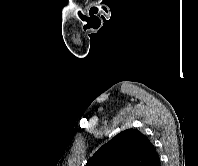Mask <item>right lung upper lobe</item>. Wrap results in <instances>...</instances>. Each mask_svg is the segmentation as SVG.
Returning <instances> with one entry per match:
<instances>
[{"mask_svg": "<svg viewBox=\"0 0 198 166\" xmlns=\"http://www.w3.org/2000/svg\"><path fill=\"white\" fill-rule=\"evenodd\" d=\"M158 157L154 145L144 134L127 129L101 146L86 166H150Z\"/></svg>", "mask_w": 198, "mask_h": 166, "instance_id": "1", "label": "right lung upper lobe"}]
</instances>
